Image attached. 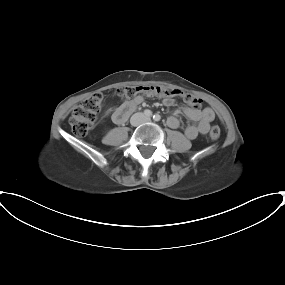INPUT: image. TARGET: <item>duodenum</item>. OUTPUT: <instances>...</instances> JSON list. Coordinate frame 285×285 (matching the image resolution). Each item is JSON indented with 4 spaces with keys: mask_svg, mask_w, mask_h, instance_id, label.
<instances>
[{
    "mask_svg": "<svg viewBox=\"0 0 285 285\" xmlns=\"http://www.w3.org/2000/svg\"><path fill=\"white\" fill-rule=\"evenodd\" d=\"M134 109H135V106L130 103H126L122 105L114 113L113 120L118 124L123 123Z\"/></svg>",
    "mask_w": 285,
    "mask_h": 285,
    "instance_id": "1",
    "label": "duodenum"
}]
</instances>
